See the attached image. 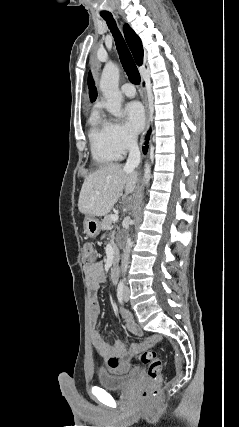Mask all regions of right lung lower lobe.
I'll list each match as a JSON object with an SVG mask.
<instances>
[{"mask_svg":"<svg viewBox=\"0 0 239 427\" xmlns=\"http://www.w3.org/2000/svg\"><path fill=\"white\" fill-rule=\"evenodd\" d=\"M151 131L149 130L148 134L146 135V140H149V136H150ZM145 147H143V152L146 153L147 152V142L145 143Z\"/></svg>","mask_w":239,"mask_h":427,"instance_id":"98d812e1","label":"right lung lower lobe"}]
</instances>
